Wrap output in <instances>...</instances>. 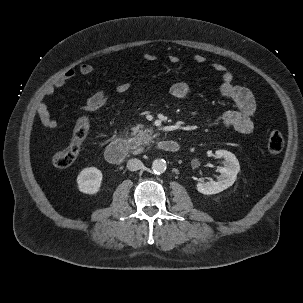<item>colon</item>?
Here are the masks:
<instances>
[{
	"mask_svg": "<svg viewBox=\"0 0 303 303\" xmlns=\"http://www.w3.org/2000/svg\"><path fill=\"white\" fill-rule=\"evenodd\" d=\"M107 99L108 96L103 95L91 98L86 102L84 107L86 114L81 115L78 118L69 144L65 149L55 153L52 157V164L55 168H66L76 160L80 153L82 144L90 131L91 118L89 114L101 110L107 102ZM283 147L284 139L282 134L277 130L271 131L267 138L268 153L271 156H277L281 153Z\"/></svg>",
	"mask_w": 303,
	"mask_h": 303,
	"instance_id": "colon-1",
	"label": "colon"
}]
</instances>
